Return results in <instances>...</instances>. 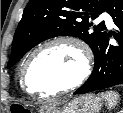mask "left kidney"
Instances as JSON below:
<instances>
[{
  "label": "left kidney",
  "mask_w": 123,
  "mask_h": 113,
  "mask_svg": "<svg viewBox=\"0 0 123 113\" xmlns=\"http://www.w3.org/2000/svg\"><path fill=\"white\" fill-rule=\"evenodd\" d=\"M119 113H123V109Z\"/></svg>",
  "instance_id": "5707ae66"
}]
</instances>
